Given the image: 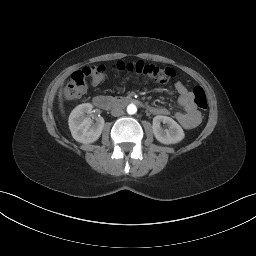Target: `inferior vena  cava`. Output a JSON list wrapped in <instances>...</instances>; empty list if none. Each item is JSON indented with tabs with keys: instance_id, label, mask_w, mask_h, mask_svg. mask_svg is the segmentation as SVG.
<instances>
[{
	"instance_id": "obj_1",
	"label": "inferior vena cava",
	"mask_w": 256,
	"mask_h": 256,
	"mask_svg": "<svg viewBox=\"0 0 256 256\" xmlns=\"http://www.w3.org/2000/svg\"><path fill=\"white\" fill-rule=\"evenodd\" d=\"M124 114V111L120 107H115L111 111V115L114 117H118Z\"/></svg>"
}]
</instances>
